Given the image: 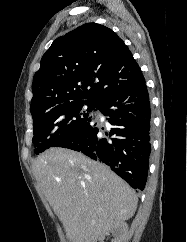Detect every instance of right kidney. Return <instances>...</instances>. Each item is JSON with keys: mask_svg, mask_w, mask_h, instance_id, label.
<instances>
[{"mask_svg": "<svg viewBox=\"0 0 187 242\" xmlns=\"http://www.w3.org/2000/svg\"><path fill=\"white\" fill-rule=\"evenodd\" d=\"M111 232L114 236L112 242H124L127 232L128 225L125 222L119 223L113 226L109 231L100 233L98 235L92 236L87 242H103L105 236Z\"/></svg>", "mask_w": 187, "mask_h": 242, "instance_id": "obj_1", "label": "right kidney"}]
</instances>
